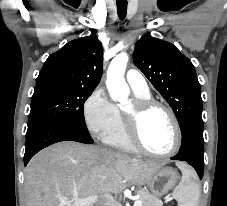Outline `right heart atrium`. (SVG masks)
<instances>
[{
	"instance_id": "1",
	"label": "right heart atrium",
	"mask_w": 227,
	"mask_h": 206,
	"mask_svg": "<svg viewBox=\"0 0 227 206\" xmlns=\"http://www.w3.org/2000/svg\"><path fill=\"white\" fill-rule=\"evenodd\" d=\"M83 115L88 131L104 138L117 122L116 106L101 89L94 90L83 105Z\"/></svg>"
}]
</instances>
